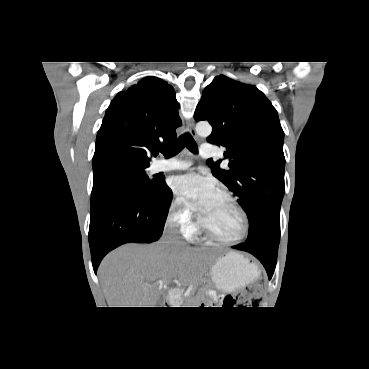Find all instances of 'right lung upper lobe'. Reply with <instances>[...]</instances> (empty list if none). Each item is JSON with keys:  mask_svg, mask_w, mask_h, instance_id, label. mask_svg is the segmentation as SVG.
Here are the masks:
<instances>
[{"mask_svg": "<svg viewBox=\"0 0 369 369\" xmlns=\"http://www.w3.org/2000/svg\"><path fill=\"white\" fill-rule=\"evenodd\" d=\"M174 89L145 77L112 100L97 133L93 165L128 161L149 165L157 148L170 145L181 125Z\"/></svg>", "mask_w": 369, "mask_h": 369, "instance_id": "cb5924a9", "label": "right lung upper lobe"}]
</instances>
